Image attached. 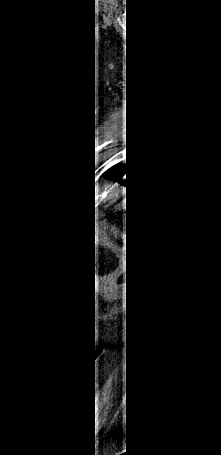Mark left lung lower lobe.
<instances>
[{
	"instance_id": "1",
	"label": "left lung lower lobe",
	"mask_w": 221,
	"mask_h": 455,
	"mask_svg": "<svg viewBox=\"0 0 221 455\" xmlns=\"http://www.w3.org/2000/svg\"><path fill=\"white\" fill-rule=\"evenodd\" d=\"M97 168L105 169L102 160L97 163ZM90 171H95V162L92 163ZM103 176L107 179L120 181L127 188L138 191L144 189L147 184V173L140 166L139 158L132 155H127L125 159L103 172Z\"/></svg>"
}]
</instances>
